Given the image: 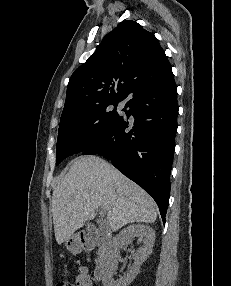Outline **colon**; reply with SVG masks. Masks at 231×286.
Listing matches in <instances>:
<instances>
[{"instance_id": "obj_1", "label": "colon", "mask_w": 231, "mask_h": 286, "mask_svg": "<svg viewBox=\"0 0 231 286\" xmlns=\"http://www.w3.org/2000/svg\"><path fill=\"white\" fill-rule=\"evenodd\" d=\"M57 286H75V285L69 282H60L57 284Z\"/></svg>"}]
</instances>
